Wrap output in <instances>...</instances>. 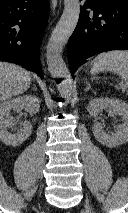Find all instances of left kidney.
<instances>
[{
	"label": "left kidney",
	"instance_id": "obj_1",
	"mask_svg": "<svg viewBox=\"0 0 128 213\" xmlns=\"http://www.w3.org/2000/svg\"><path fill=\"white\" fill-rule=\"evenodd\" d=\"M103 109L118 113L124 119V123L118 125L117 131L111 134L104 132L102 124L95 123L92 127L95 139L109 148L128 142V104L120 99L95 98L89 102L87 107L90 116L93 117H97Z\"/></svg>",
	"mask_w": 128,
	"mask_h": 213
}]
</instances>
